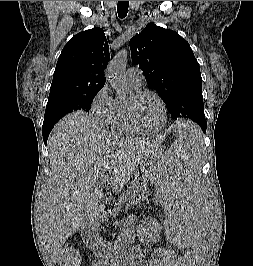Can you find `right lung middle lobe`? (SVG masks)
<instances>
[{
    "instance_id": "1",
    "label": "right lung middle lobe",
    "mask_w": 253,
    "mask_h": 266,
    "mask_svg": "<svg viewBox=\"0 0 253 266\" xmlns=\"http://www.w3.org/2000/svg\"><path fill=\"white\" fill-rule=\"evenodd\" d=\"M98 92L60 93L49 96L43 125L56 123L60 118L73 111L89 112L91 103Z\"/></svg>"
}]
</instances>
